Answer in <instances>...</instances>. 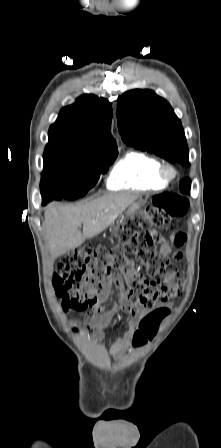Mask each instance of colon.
<instances>
[{"mask_svg":"<svg viewBox=\"0 0 221 448\" xmlns=\"http://www.w3.org/2000/svg\"><path fill=\"white\" fill-rule=\"evenodd\" d=\"M188 200L176 193H160L151 200L148 212L125 219L119 229V245L72 250L53 276V287L67 310H83L95 305L103 287L115 279L127 299L135 306L154 311L144 318L134 335V343L143 336L153 337L167 309L160 304L181 295L183 272L157 250L158 236L153 227H167L181 221ZM132 253L141 262L136 268L126 257ZM142 272L148 275L144 277ZM122 275V279H116Z\"/></svg>","mask_w":221,"mask_h":448,"instance_id":"5ec220e1","label":"colon"}]
</instances>
